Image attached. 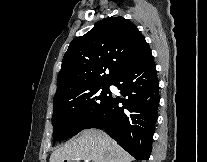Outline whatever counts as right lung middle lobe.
Wrapping results in <instances>:
<instances>
[{
  "label": "right lung middle lobe",
  "instance_id": "dd1d6c3e",
  "mask_svg": "<svg viewBox=\"0 0 207 162\" xmlns=\"http://www.w3.org/2000/svg\"><path fill=\"white\" fill-rule=\"evenodd\" d=\"M108 85L54 99L53 137L70 138L83 129L112 98Z\"/></svg>",
  "mask_w": 207,
  "mask_h": 162
}]
</instances>
